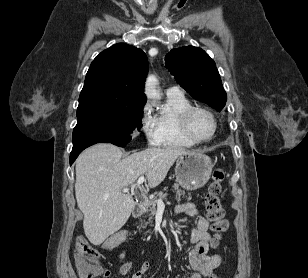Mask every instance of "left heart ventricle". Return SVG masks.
<instances>
[{"label":"left heart ventricle","mask_w":308,"mask_h":278,"mask_svg":"<svg viewBox=\"0 0 308 278\" xmlns=\"http://www.w3.org/2000/svg\"><path fill=\"white\" fill-rule=\"evenodd\" d=\"M189 128L198 138H207L211 135L214 125L211 117L200 110L194 111L189 117Z\"/></svg>","instance_id":"left-heart-ventricle-1"}]
</instances>
